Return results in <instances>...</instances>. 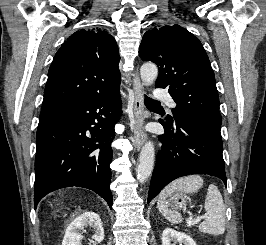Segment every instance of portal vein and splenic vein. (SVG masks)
<instances>
[{
  "mask_svg": "<svg viewBox=\"0 0 266 245\" xmlns=\"http://www.w3.org/2000/svg\"><path fill=\"white\" fill-rule=\"evenodd\" d=\"M201 219H205V217H197V219H194V221L193 217H189V219H187V227H191V225H196V223H199Z\"/></svg>",
  "mask_w": 266,
  "mask_h": 245,
  "instance_id": "obj_1",
  "label": "portal vein and splenic vein"
}]
</instances>
